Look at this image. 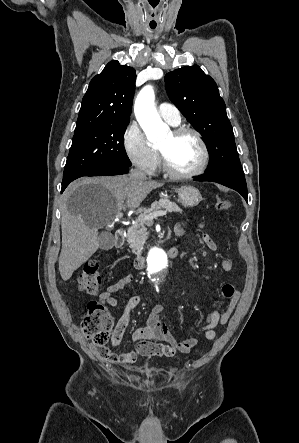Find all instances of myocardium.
I'll return each instance as SVG.
<instances>
[{"label": "myocardium", "instance_id": "1", "mask_svg": "<svg viewBox=\"0 0 299 443\" xmlns=\"http://www.w3.org/2000/svg\"><path fill=\"white\" fill-rule=\"evenodd\" d=\"M171 133L174 137H179L183 134H192L200 146L201 159H200L198 166L195 169L188 171V172H179V171L174 170L170 166L165 153L161 149H158L159 162H160V166H161L162 170L168 176L175 178V179H188V178H193V177H196V176H199L200 174H202L204 172V170L206 169L208 162H209V150H208L207 144L204 141L201 133L198 130H196L195 128L187 127V126L176 127L175 129H173L171 131Z\"/></svg>", "mask_w": 299, "mask_h": 443}]
</instances>
